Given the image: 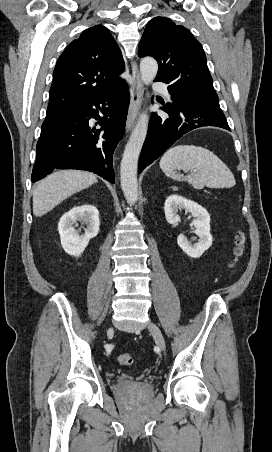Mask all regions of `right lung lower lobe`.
I'll return each instance as SVG.
<instances>
[{
  "label": "right lung lower lobe",
  "instance_id": "98d812e1",
  "mask_svg": "<svg viewBox=\"0 0 272 452\" xmlns=\"http://www.w3.org/2000/svg\"><path fill=\"white\" fill-rule=\"evenodd\" d=\"M129 100L128 85L123 81L117 88L71 110L47 113L36 147L32 182L55 169H80L114 183L112 155L125 132ZM91 118L98 119L102 127H92Z\"/></svg>",
  "mask_w": 272,
  "mask_h": 452
}]
</instances>
